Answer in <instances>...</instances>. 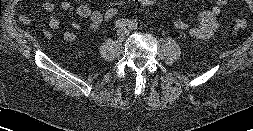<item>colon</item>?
<instances>
[{
    "instance_id": "colon-1",
    "label": "colon",
    "mask_w": 253,
    "mask_h": 131,
    "mask_svg": "<svg viewBox=\"0 0 253 131\" xmlns=\"http://www.w3.org/2000/svg\"><path fill=\"white\" fill-rule=\"evenodd\" d=\"M135 3L143 5V6H151L154 5L157 0H133ZM123 4L116 3L103 11V18L106 22H113L115 21L123 11ZM234 30H243L247 27V19L246 14L244 12H240L234 23L232 25Z\"/></svg>"
}]
</instances>
